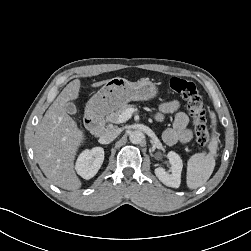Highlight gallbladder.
<instances>
[{"label": "gallbladder", "mask_w": 251, "mask_h": 251, "mask_svg": "<svg viewBox=\"0 0 251 251\" xmlns=\"http://www.w3.org/2000/svg\"><path fill=\"white\" fill-rule=\"evenodd\" d=\"M65 109L67 111V113L71 114V115H75L77 112L76 106L74 103L72 102H68L65 106Z\"/></svg>", "instance_id": "gallbladder-1"}]
</instances>
